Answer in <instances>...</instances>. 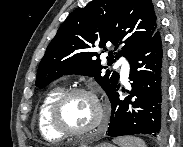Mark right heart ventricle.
Wrapping results in <instances>:
<instances>
[{
	"instance_id": "obj_1",
	"label": "right heart ventricle",
	"mask_w": 183,
	"mask_h": 147,
	"mask_svg": "<svg viewBox=\"0 0 183 147\" xmlns=\"http://www.w3.org/2000/svg\"><path fill=\"white\" fill-rule=\"evenodd\" d=\"M64 92L62 87L50 89L44 96L38 110V127L41 135L47 140H61L64 134L58 132L51 124V109L58 97Z\"/></svg>"
}]
</instances>
